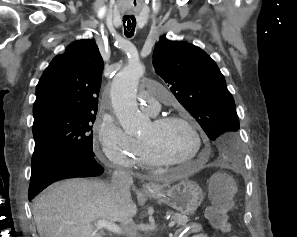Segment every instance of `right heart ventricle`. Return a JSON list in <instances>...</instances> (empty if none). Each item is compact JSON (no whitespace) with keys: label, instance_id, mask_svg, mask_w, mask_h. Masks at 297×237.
Wrapping results in <instances>:
<instances>
[{"label":"right heart ventricle","instance_id":"right-heart-ventricle-1","mask_svg":"<svg viewBox=\"0 0 297 237\" xmlns=\"http://www.w3.org/2000/svg\"><path fill=\"white\" fill-rule=\"evenodd\" d=\"M137 165L143 166V167H152L154 166L153 163L149 160L147 153L141 144L139 142V151H138V163Z\"/></svg>","mask_w":297,"mask_h":237}]
</instances>
